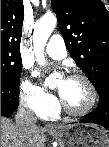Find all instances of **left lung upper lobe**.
I'll return each mask as SVG.
<instances>
[{
	"instance_id": "obj_1",
	"label": "left lung upper lobe",
	"mask_w": 109,
	"mask_h": 147,
	"mask_svg": "<svg viewBox=\"0 0 109 147\" xmlns=\"http://www.w3.org/2000/svg\"><path fill=\"white\" fill-rule=\"evenodd\" d=\"M66 47L97 93L109 88V11L101 0H52Z\"/></svg>"
}]
</instances>
